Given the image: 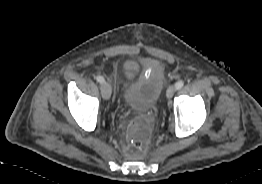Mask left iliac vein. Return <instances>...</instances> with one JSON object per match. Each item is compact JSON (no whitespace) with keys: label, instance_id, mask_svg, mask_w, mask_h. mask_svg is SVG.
<instances>
[{"label":"left iliac vein","instance_id":"4c4485c4","mask_svg":"<svg viewBox=\"0 0 262 184\" xmlns=\"http://www.w3.org/2000/svg\"><path fill=\"white\" fill-rule=\"evenodd\" d=\"M175 91H176V86H174V85L169 86L167 91H166V97L168 99L172 98Z\"/></svg>","mask_w":262,"mask_h":184}]
</instances>
